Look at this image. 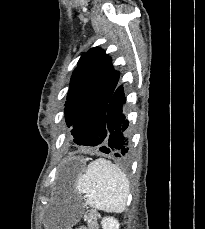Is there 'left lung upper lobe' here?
I'll return each mask as SVG.
<instances>
[{
  "label": "left lung upper lobe",
  "mask_w": 205,
  "mask_h": 229,
  "mask_svg": "<svg viewBox=\"0 0 205 229\" xmlns=\"http://www.w3.org/2000/svg\"><path fill=\"white\" fill-rule=\"evenodd\" d=\"M118 80L119 73L114 71L111 58L102 49L95 47L81 56L65 103L66 123L72 128L76 144L101 146L91 140V134L104 129L108 103Z\"/></svg>",
  "instance_id": "5c2ea615"
}]
</instances>
